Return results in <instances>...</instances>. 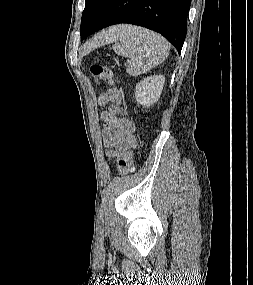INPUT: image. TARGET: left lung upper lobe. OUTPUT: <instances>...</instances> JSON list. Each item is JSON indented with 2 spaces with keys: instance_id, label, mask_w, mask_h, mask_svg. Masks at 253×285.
<instances>
[{
  "instance_id": "obj_1",
  "label": "left lung upper lobe",
  "mask_w": 253,
  "mask_h": 285,
  "mask_svg": "<svg viewBox=\"0 0 253 285\" xmlns=\"http://www.w3.org/2000/svg\"><path fill=\"white\" fill-rule=\"evenodd\" d=\"M111 0H86L85 9L82 13L80 34L81 40L85 39L90 31L101 19Z\"/></svg>"
}]
</instances>
